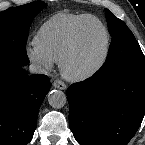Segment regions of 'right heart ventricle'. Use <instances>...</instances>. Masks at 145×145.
I'll use <instances>...</instances> for the list:
<instances>
[{"instance_id":"right-heart-ventricle-1","label":"right heart ventricle","mask_w":145,"mask_h":145,"mask_svg":"<svg viewBox=\"0 0 145 145\" xmlns=\"http://www.w3.org/2000/svg\"><path fill=\"white\" fill-rule=\"evenodd\" d=\"M91 16L63 12L53 15L36 32L34 46L54 62H60L73 40L78 24Z\"/></svg>"}]
</instances>
